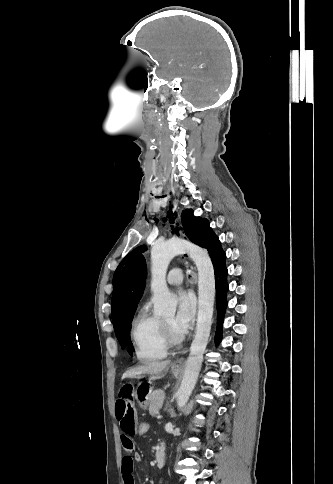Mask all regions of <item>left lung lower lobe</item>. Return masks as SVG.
Instances as JSON below:
<instances>
[{"label": "left lung lower lobe", "mask_w": 333, "mask_h": 484, "mask_svg": "<svg viewBox=\"0 0 333 484\" xmlns=\"http://www.w3.org/2000/svg\"><path fill=\"white\" fill-rule=\"evenodd\" d=\"M202 248H206L211 257L215 277L216 287V307H217V331L215 335V341L218 343L221 340V329L223 324V317L227 307L226 293L228 291L227 284V268L225 266L226 255L222 250L221 243L211 227L207 225L202 243L199 245Z\"/></svg>", "instance_id": "0a47b994"}]
</instances>
